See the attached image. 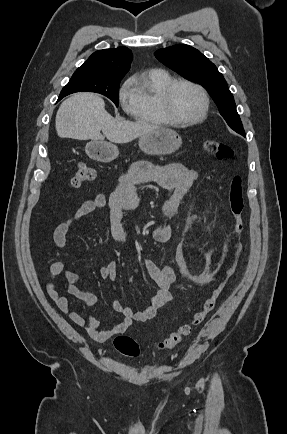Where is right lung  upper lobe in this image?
<instances>
[{"label":"right lung upper lobe","mask_w":287,"mask_h":434,"mask_svg":"<svg viewBox=\"0 0 287 434\" xmlns=\"http://www.w3.org/2000/svg\"><path fill=\"white\" fill-rule=\"evenodd\" d=\"M132 53L127 47L94 52L74 74L108 79H122L129 71Z\"/></svg>","instance_id":"right-lung-upper-lobe-1"}]
</instances>
